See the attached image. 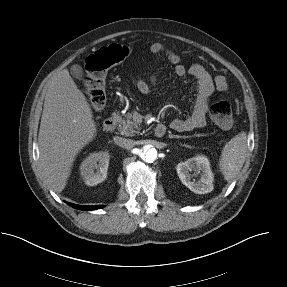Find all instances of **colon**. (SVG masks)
<instances>
[{
    "instance_id": "obj_1",
    "label": "colon",
    "mask_w": 287,
    "mask_h": 287,
    "mask_svg": "<svg viewBox=\"0 0 287 287\" xmlns=\"http://www.w3.org/2000/svg\"><path fill=\"white\" fill-rule=\"evenodd\" d=\"M131 52L132 47L129 45L110 44L98 49L86 58L84 87L94 109L99 110L105 105L107 71L125 60ZM210 116L213 122L223 129H229L232 126V108L224 98L217 99L211 105Z\"/></svg>"
}]
</instances>
